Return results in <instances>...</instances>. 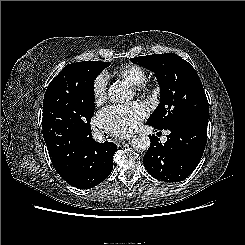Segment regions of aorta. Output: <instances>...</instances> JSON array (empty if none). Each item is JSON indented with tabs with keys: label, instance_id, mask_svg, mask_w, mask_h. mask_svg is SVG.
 Segmentation results:
<instances>
[{
	"label": "aorta",
	"instance_id": "762f6f07",
	"mask_svg": "<svg viewBox=\"0 0 245 245\" xmlns=\"http://www.w3.org/2000/svg\"><path fill=\"white\" fill-rule=\"evenodd\" d=\"M108 96L112 102L124 103L132 98V92L124 83L116 82L108 89ZM131 145L137 151H145L150 147V139L145 134L135 135Z\"/></svg>",
	"mask_w": 245,
	"mask_h": 245
}]
</instances>
